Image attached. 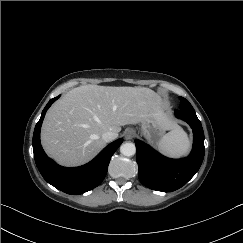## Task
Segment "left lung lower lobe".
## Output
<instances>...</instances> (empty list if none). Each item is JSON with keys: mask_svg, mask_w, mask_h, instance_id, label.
Instances as JSON below:
<instances>
[{"mask_svg": "<svg viewBox=\"0 0 243 243\" xmlns=\"http://www.w3.org/2000/svg\"><path fill=\"white\" fill-rule=\"evenodd\" d=\"M175 115L193 129V148L188 157L170 159L146 143L135 140L139 180L153 190L171 192L181 188L199 170L204 158V132L196 114L175 110Z\"/></svg>", "mask_w": 243, "mask_h": 243, "instance_id": "obj_1", "label": "left lung lower lobe"}]
</instances>
